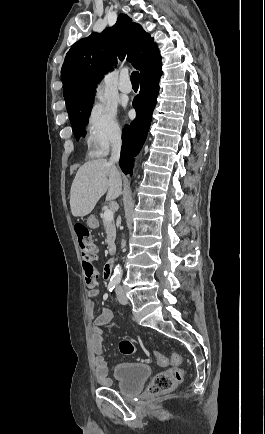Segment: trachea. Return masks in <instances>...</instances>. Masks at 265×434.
Wrapping results in <instances>:
<instances>
[{
	"label": "trachea",
	"instance_id": "trachea-1",
	"mask_svg": "<svg viewBox=\"0 0 265 434\" xmlns=\"http://www.w3.org/2000/svg\"><path fill=\"white\" fill-rule=\"evenodd\" d=\"M131 82L132 84H139V72H133L131 74Z\"/></svg>",
	"mask_w": 265,
	"mask_h": 434
}]
</instances>
